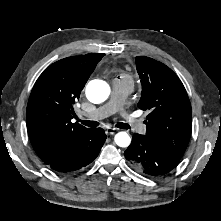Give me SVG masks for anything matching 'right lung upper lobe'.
I'll return each instance as SVG.
<instances>
[{"label":"right lung upper lobe","mask_w":221,"mask_h":221,"mask_svg":"<svg viewBox=\"0 0 221 221\" xmlns=\"http://www.w3.org/2000/svg\"><path fill=\"white\" fill-rule=\"evenodd\" d=\"M105 54L71 56L50 65L37 79L27 105L26 125L38 157L49 165L91 131L75 117L74 104Z\"/></svg>","instance_id":"obj_1"}]
</instances>
